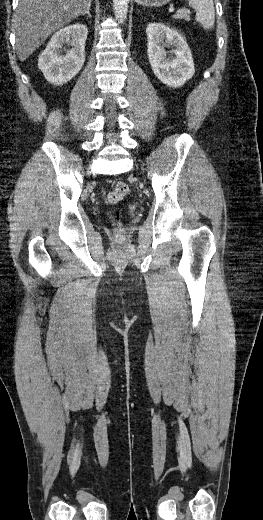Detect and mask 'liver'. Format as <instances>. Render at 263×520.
<instances>
[{
  "label": "liver",
  "mask_w": 263,
  "mask_h": 520,
  "mask_svg": "<svg viewBox=\"0 0 263 520\" xmlns=\"http://www.w3.org/2000/svg\"><path fill=\"white\" fill-rule=\"evenodd\" d=\"M92 0H19L14 15L16 50L25 61L45 40L83 15Z\"/></svg>",
  "instance_id": "obj_1"
}]
</instances>
